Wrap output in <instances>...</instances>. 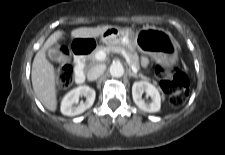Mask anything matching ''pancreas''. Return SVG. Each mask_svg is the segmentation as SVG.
<instances>
[{"mask_svg":"<svg viewBox=\"0 0 225 155\" xmlns=\"http://www.w3.org/2000/svg\"><path fill=\"white\" fill-rule=\"evenodd\" d=\"M114 50H117L118 53H121L126 59L130 61V64L134 65L138 70L140 69L139 57L137 53L135 51L128 50L126 47H124L121 44H110L108 46H99L89 58L94 60L95 54L98 51H105L106 53H108ZM139 77H141L143 80H148V78L142 74H139Z\"/></svg>","mask_w":225,"mask_h":155,"instance_id":"cf45deb5","label":"pancreas"}]
</instances>
